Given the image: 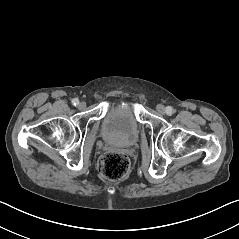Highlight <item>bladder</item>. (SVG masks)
I'll return each instance as SVG.
<instances>
[{
    "label": "bladder",
    "mask_w": 239,
    "mask_h": 239,
    "mask_svg": "<svg viewBox=\"0 0 239 239\" xmlns=\"http://www.w3.org/2000/svg\"><path fill=\"white\" fill-rule=\"evenodd\" d=\"M101 134L108 142L132 146L139 138V124L130 108L113 106L102 119Z\"/></svg>",
    "instance_id": "bladder-1"
}]
</instances>
